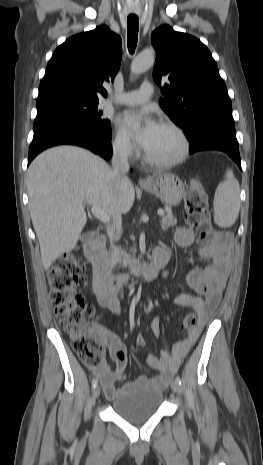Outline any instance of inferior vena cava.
I'll list each match as a JSON object with an SVG mask.
<instances>
[{"mask_svg":"<svg viewBox=\"0 0 263 465\" xmlns=\"http://www.w3.org/2000/svg\"><path fill=\"white\" fill-rule=\"evenodd\" d=\"M111 177L117 185H123L129 182L127 173L129 171L128 164V149L126 144H120L114 148L112 156ZM113 237L118 241L121 237L122 217L121 213H117L113 217Z\"/></svg>","mask_w":263,"mask_h":465,"instance_id":"obj_1","label":"inferior vena cava"}]
</instances>
